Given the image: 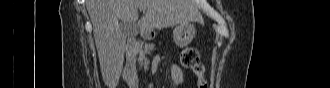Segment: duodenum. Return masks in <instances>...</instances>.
Listing matches in <instances>:
<instances>
[{
	"label": "duodenum",
	"mask_w": 330,
	"mask_h": 88,
	"mask_svg": "<svg viewBox=\"0 0 330 88\" xmlns=\"http://www.w3.org/2000/svg\"><path fill=\"white\" fill-rule=\"evenodd\" d=\"M142 38L148 39V35L143 33ZM141 46V40L136 38H131L126 43V57H127V63L124 69V76L128 79V83L131 84L132 87H136L138 84V76L136 74V68H135V55L137 50Z\"/></svg>",
	"instance_id": "duodenum-1"
}]
</instances>
